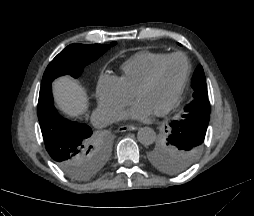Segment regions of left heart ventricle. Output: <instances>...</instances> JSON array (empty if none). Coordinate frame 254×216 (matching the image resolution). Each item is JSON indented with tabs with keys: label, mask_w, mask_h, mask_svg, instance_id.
Returning <instances> with one entry per match:
<instances>
[{
	"label": "left heart ventricle",
	"mask_w": 254,
	"mask_h": 216,
	"mask_svg": "<svg viewBox=\"0 0 254 216\" xmlns=\"http://www.w3.org/2000/svg\"><path fill=\"white\" fill-rule=\"evenodd\" d=\"M185 72V62L181 58L167 61L161 68L155 82L138 95L154 112L164 108L175 94Z\"/></svg>",
	"instance_id": "1"
}]
</instances>
